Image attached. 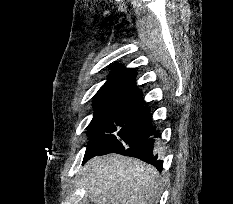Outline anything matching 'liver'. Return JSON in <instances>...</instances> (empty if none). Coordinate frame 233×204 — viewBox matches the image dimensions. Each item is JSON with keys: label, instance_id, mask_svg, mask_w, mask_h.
I'll list each match as a JSON object with an SVG mask.
<instances>
[{"label": "liver", "instance_id": "liver-1", "mask_svg": "<svg viewBox=\"0 0 233 204\" xmlns=\"http://www.w3.org/2000/svg\"><path fill=\"white\" fill-rule=\"evenodd\" d=\"M81 175L80 185L94 204H153L161 186L153 166L119 154L90 159Z\"/></svg>", "mask_w": 233, "mask_h": 204}]
</instances>
